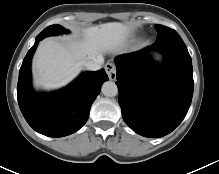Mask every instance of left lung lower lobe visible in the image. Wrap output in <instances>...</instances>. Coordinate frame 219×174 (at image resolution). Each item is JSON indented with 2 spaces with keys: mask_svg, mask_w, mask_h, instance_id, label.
<instances>
[{
  "mask_svg": "<svg viewBox=\"0 0 219 174\" xmlns=\"http://www.w3.org/2000/svg\"><path fill=\"white\" fill-rule=\"evenodd\" d=\"M164 55L155 64L148 49L119 55L116 85L122 117L136 133L158 138L184 119L193 95V68L183 40H164L151 47Z\"/></svg>",
  "mask_w": 219,
  "mask_h": 174,
  "instance_id": "0a47b994",
  "label": "left lung lower lobe"
}]
</instances>
